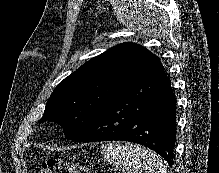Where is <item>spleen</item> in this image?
I'll return each instance as SVG.
<instances>
[{
  "instance_id": "obj_1",
  "label": "spleen",
  "mask_w": 219,
  "mask_h": 173,
  "mask_svg": "<svg viewBox=\"0 0 219 173\" xmlns=\"http://www.w3.org/2000/svg\"><path fill=\"white\" fill-rule=\"evenodd\" d=\"M101 154L123 173H170L167 164L157 154L130 142L103 145Z\"/></svg>"
}]
</instances>
